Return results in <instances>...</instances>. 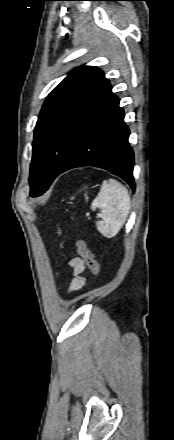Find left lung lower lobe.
Instances as JSON below:
<instances>
[{"label":"left lung lower lobe","instance_id":"0a47b994","mask_svg":"<svg viewBox=\"0 0 174 440\" xmlns=\"http://www.w3.org/2000/svg\"><path fill=\"white\" fill-rule=\"evenodd\" d=\"M129 133L119 99L110 90L87 119L59 174L76 167L94 166L124 179L135 191Z\"/></svg>","mask_w":174,"mask_h":440}]
</instances>
